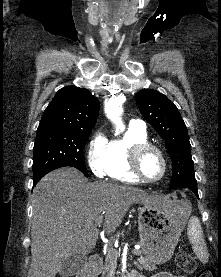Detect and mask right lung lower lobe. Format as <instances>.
I'll use <instances>...</instances> for the list:
<instances>
[{
  "instance_id": "right-lung-lower-lobe-1",
  "label": "right lung lower lobe",
  "mask_w": 221,
  "mask_h": 277,
  "mask_svg": "<svg viewBox=\"0 0 221 277\" xmlns=\"http://www.w3.org/2000/svg\"><path fill=\"white\" fill-rule=\"evenodd\" d=\"M39 180H40V179L34 180V186L37 184V182H38Z\"/></svg>"
}]
</instances>
